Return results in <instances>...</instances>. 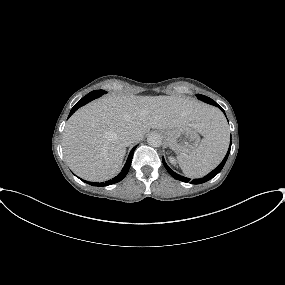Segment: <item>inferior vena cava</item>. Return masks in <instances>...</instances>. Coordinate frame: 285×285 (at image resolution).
I'll return each mask as SVG.
<instances>
[{
    "label": "inferior vena cava",
    "mask_w": 285,
    "mask_h": 285,
    "mask_svg": "<svg viewBox=\"0 0 285 285\" xmlns=\"http://www.w3.org/2000/svg\"><path fill=\"white\" fill-rule=\"evenodd\" d=\"M122 140L127 146H129L130 144L137 142L138 137L131 132H127L123 135Z\"/></svg>",
    "instance_id": "602c4592"
}]
</instances>
